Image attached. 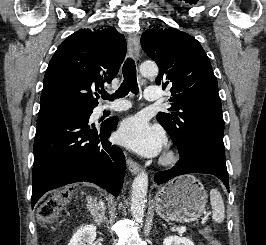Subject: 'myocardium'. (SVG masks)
Segmentation results:
<instances>
[{
  "label": "myocardium",
  "mask_w": 266,
  "mask_h": 245,
  "mask_svg": "<svg viewBox=\"0 0 266 245\" xmlns=\"http://www.w3.org/2000/svg\"><path fill=\"white\" fill-rule=\"evenodd\" d=\"M177 157H178V152L175 149H170L165 153L163 157V163L164 164L174 163Z\"/></svg>",
  "instance_id": "obj_1"
}]
</instances>
